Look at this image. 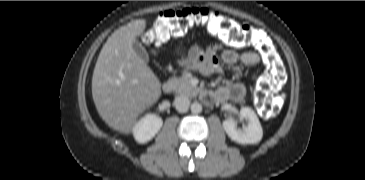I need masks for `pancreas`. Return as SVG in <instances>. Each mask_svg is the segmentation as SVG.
<instances>
[{"instance_id": "obj_1", "label": "pancreas", "mask_w": 365, "mask_h": 180, "mask_svg": "<svg viewBox=\"0 0 365 180\" xmlns=\"http://www.w3.org/2000/svg\"><path fill=\"white\" fill-rule=\"evenodd\" d=\"M171 82L174 84L175 91L179 94H183L189 97H195L199 93L200 89L193 86L190 82V77L183 75L180 78H172Z\"/></svg>"}]
</instances>
